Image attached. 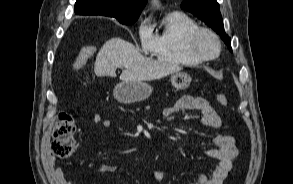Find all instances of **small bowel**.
Listing matches in <instances>:
<instances>
[{"label": "small bowel", "instance_id": "small-bowel-1", "mask_svg": "<svg viewBox=\"0 0 293 184\" xmlns=\"http://www.w3.org/2000/svg\"><path fill=\"white\" fill-rule=\"evenodd\" d=\"M183 111H198L200 113L199 121L204 126L216 129L227 128V125L224 124L218 113L205 98L184 96L175 104L166 108L164 115L168 117ZM93 121L102 127L111 126V121L101 113H96L93 116ZM213 143L215 147L207 150L206 154L215 161V165L209 174H201L197 181L190 184H223L225 178L230 173L233 161L238 155L234 138L225 133H217L213 136ZM116 170L117 167L115 165L102 164L96 168L95 172L114 173ZM48 173L55 184H72L65 176L63 170L55 166L52 159L48 163ZM154 177L160 183L165 179V172L157 170L154 173ZM86 183H90L89 178L86 180Z\"/></svg>", "mask_w": 293, "mask_h": 184}]
</instances>
